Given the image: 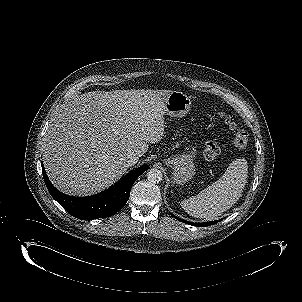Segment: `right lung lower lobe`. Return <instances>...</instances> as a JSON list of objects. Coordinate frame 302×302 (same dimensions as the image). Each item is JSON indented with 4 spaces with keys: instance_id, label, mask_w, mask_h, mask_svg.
I'll return each mask as SVG.
<instances>
[{
    "instance_id": "obj_1",
    "label": "right lung lower lobe",
    "mask_w": 302,
    "mask_h": 302,
    "mask_svg": "<svg viewBox=\"0 0 302 302\" xmlns=\"http://www.w3.org/2000/svg\"><path fill=\"white\" fill-rule=\"evenodd\" d=\"M146 170L148 165H143L125 175L109 189L96 195L73 197L60 192L51 184L42 164L44 181L51 196L72 216L83 220L108 217L121 210L129 199L133 183Z\"/></svg>"
}]
</instances>
